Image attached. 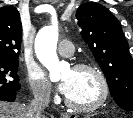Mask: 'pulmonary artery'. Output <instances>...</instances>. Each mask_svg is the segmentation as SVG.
<instances>
[{
  "label": "pulmonary artery",
  "instance_id": "obj_1",
  "mask_svg": "<svg viewBox=\"0 0 133 118\" xmlns=\"http://www.w3.org/2000/svg\"><path fill=\"white\" fill-rule=\"evenodd\" d=\"M58 52L61 56L69 57L74 52V45L68 40H62L59 42Z\"/></svg>",
  "mask_w": 133,
  "mask_h": 118
}]
</instances>
